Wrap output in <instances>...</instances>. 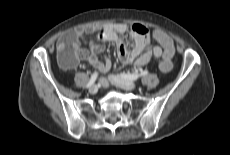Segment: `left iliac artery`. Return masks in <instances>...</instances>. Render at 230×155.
<instances>
[{"label": "left iliac artery", "instance_id": "1", "mask_svg": "<svg viewBox=\"0 0 230 155\" xmlns=\"http://www.w3.org/2000/svg\"><path fill=\"white\" fill-rule=\"evenodd\" d=\"M148 74V71H142L141 73H121L120 76L122 78H124L125 80H130V81H135L137 80L139 77L145 76Z\"/></svg>", "mask_w": 230, "mask_h": 155}]
</instances>
